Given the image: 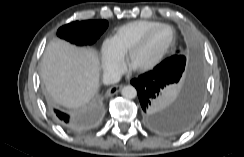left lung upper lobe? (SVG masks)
<instances>
[{"label": "left lung upper lobe", "instance_id": "obj_1", "mask_svg": "<svg viewBox=\"0 0 244 157\" xmlns=\"http://www.w3.org/2000/svg\"><path fill=\"white\" fill-rule=\"evenodd\" d=\"M185 65H186V57L181 54H175L165 59L154 69L165 71V72L177 73V72H181L182 68H184Z\"/></svg>", "mask_w": 244, "mask_h": 157}]
</instances>
